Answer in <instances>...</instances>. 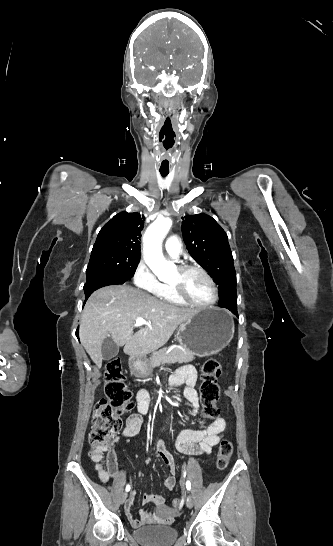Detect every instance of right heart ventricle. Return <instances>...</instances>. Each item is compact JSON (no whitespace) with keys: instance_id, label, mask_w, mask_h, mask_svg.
Masks as SVG:
<instances>
[{"instance_id":"1","label":"right heart ventricle","mask_w":333,"mask_h":546,"mask_svg":"<svg viewBox=\"0 0 333 546\" xmlns=\"http://www.w3.org/2000/svg\"><path fill=\"white\" fill-rule=\"evenodd\" d=\"M160 297L162 300L169 303L180 304V305L185 304L175 295L173 288L170 284H164V289Z\"/></svg>"}]
</instances>
